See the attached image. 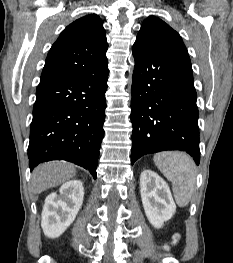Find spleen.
<instances>
[{"instance_id": "obj_1", "label": "spleen", "mask_w": 233, "mask_h": 263, "mask_svg": "<svg viewBox=\"0 0 233 263\" xmlns=\"http://www.w3.org/2000/svg\"><path fill=\"white\" fill-rule=\"evenodd\" d=\"M154 162L163 175L172 182L176 203L185 207L193 194L196 182V166L193 159L179 151L158 153Z\"/></svg>"}]
</instances>
